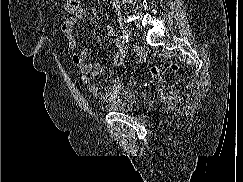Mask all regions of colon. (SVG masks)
Listing matches in <instances>:
<instances>
[{
	"label": "colon",
	"instance_id": "obj_1",
	"mask_svg": "<svg viewBox=\"0 0 243 182\" xmlns=\"http://www.w3.org/2000/svg\"><path fill=\"white\" fill-rule=\"evenodd\" d=\"M63 9L67 13L74 14L79 9V0H63ZM173 68L176 69L177 66L173 65ZM150 74L153 76L160 75V68L157 66H153L150 68Z\"/></svg>",
	"mask_w": 243,
	"mask_h": 182
}]
</instances>
